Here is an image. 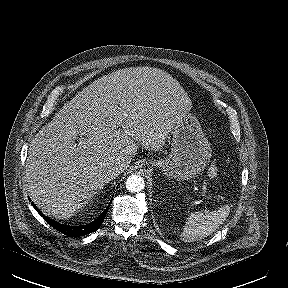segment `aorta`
<instances>
[{"label": "aorta", "instance_id": "1", "mask_svg": "<svg viewBox=\"0 0 288 288\" xmlns=\"http://www.w3.org/2000/svg\"><path fill=\"white\" fill-rule=\"evenodd\" d=\"M145 187L144 179L140 175H131L126 180V188L130 192L138 193Z\"/></svg>", "mask_w": 288, "mask_h": 288}]
</instances>
